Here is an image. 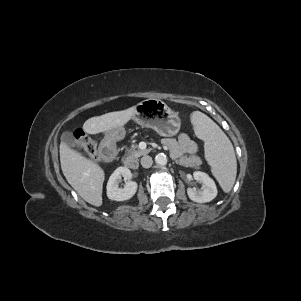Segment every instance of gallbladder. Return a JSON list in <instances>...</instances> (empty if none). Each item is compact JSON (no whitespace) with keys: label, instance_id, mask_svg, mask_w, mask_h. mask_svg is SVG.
Listing matches in <instances>:
<instances>
[{"label":"gallbladder","instance_id":"1","mask_svg":"<svg viewBox=\"0 0 301 301\" xmlns=\"http://www.w3.org/2000/svg\"><path fill=\"white\" fill-rule=\"evenodd\" d=\"M61 141L70 147H76L78 145V141L75 138L74 134L69 131H65L62 133Z\"/></svg>","mask_w":301,"mask_h":301}]
</instances>
